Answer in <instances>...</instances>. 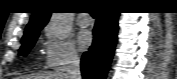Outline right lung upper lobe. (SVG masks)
I'll return each mask as SVG.
<instances>
[{"mask_svg": "<svg viewBox=\"0 0 177 79\" xmlns=\"http://www.w3.org/2000/svg\"><path fill=\"white\" fill-rule=\"evenodd\" d=\"M50 15L51 12L43 8H38L36 11H34L30 22L25 29V33L22 40L29 37L32 33L40 31L48 22Z\"/></svg>", "mask_w": 177, "mask_h": 79, "instance_id": "obj_1", "label": "right lung upper lobe"}]
</instances>
